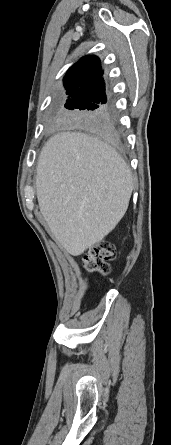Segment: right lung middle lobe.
Segmentation results:
<instances>
[{"label":"right lung middle lobe","instance_id":"obj_1","mask_svg":"<svg viewBox=\"0 0 171 445\" xmlns=\"http://www.w3.org/2000/svg\"><path fill=\"white\" fill-rule=\"evenodd\" d=\"M66 94V103L64 108L59 110L57 119L106 136L100 120L110 104L99 96L68 92Z\"/></svg>","mask_w":171,"mask_h":445}]
</instances>
